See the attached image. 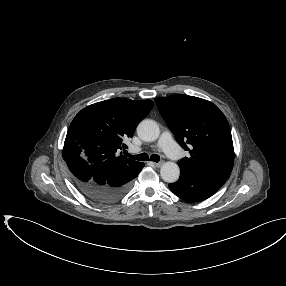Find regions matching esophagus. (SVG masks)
Wrapping results in <instances>:
<instances>
[{
  "mask_svg": "<svg viewBox=\"0 0 286 286\" xmlns=\"http://www.w3.org/2000/svg\"><path fill=\"white\" fill-rule=\"evenodd\" d=\"M153 164L155 167H160L162 165V162H154Z\"/></svg>",
  "mask_w": 286,
  "mask_h": 286,
  "instance_id": "1",
  "label": "esophagus"
}]
</instances>
